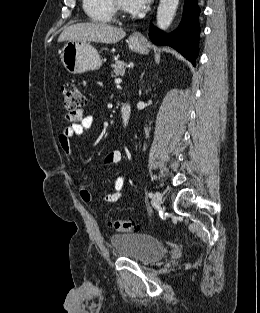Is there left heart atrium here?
I'll list each match as a JSON object with an SVG mask.
<instances>
[{
	"label": "left heart atrium",
	"mask_w": 260,
	"mask_h": 313,
	"mask_svg": "<svg viewBox=\"0 0 260 313\" xmlns=\"http://www.w3.org/2000/svg\"><path fill=\"white\" fill-rule=\"evenodd\" d=\"M152 0H123L126 9L133 12H142Z\"/></svg>",
	"instance_id": "1"
}]
</instances>
